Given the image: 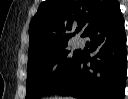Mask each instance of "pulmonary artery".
I'll list each match as a JSON object with an SVG mask.
<instances>
[{
  "label": "pulmonary artery",
  "mask_w": 128,
  "mask_h": 99,
  "mask_svg": "<svg viewBox=\"0 0 128 99\" xmlns=\"http://www.w3.org/2000/svg\"><path fill=\"white\" fill-rule=\"evenodd\" d=\"M75 45H76L77 47H81V46L83 45L82 39L77 38L76 41H75Z\"/></svg>",
  "instance_id": "obj_1"
}]
</instances>
